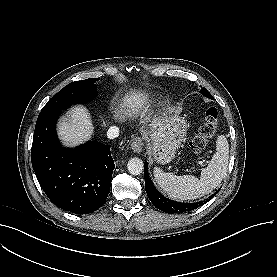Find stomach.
I'll list each match as a JSON object with an SVG mask.
<instances>
[{"label": "stomach", "instance_id": "0dacf381", "mask_svg": "<svg viewBox=\"0 0 277 277\" xmlns=\"http://www.w3.org/2000/svg\"><path fill=\"white\" fill-rule=\"evenodd\" d=\"M186 132V121L174 109L163 112L152 121L149 130L144 132L149 155L159 164L171 162Z\"/></svg>", "mask_w": 277, "mask_h": 277}]
</instances>
